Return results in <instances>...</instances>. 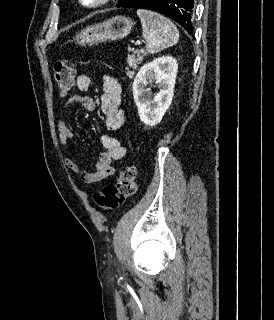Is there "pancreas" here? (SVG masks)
I'll return each mask as SVG.
<instances>
[{
    "mask_svg": "<svg viewBox=\"0 0 274 320\" xmlns=\"http://www.w3.org/2000/svg\"><path fill=\"white\" fill-rule=\"evenodd\" d=\"M144 56H147L145 50H135L133 54H129L128 56V68H125L127 70L126 74L129 76V78H132L135 74V70H137L138 64H141L144 60Z\"/></svg>",
    "mask_w": 274,
    "mask_h": 320,
    "instance_id": "1",
    "label": "pancreas"
}]
</instances>
